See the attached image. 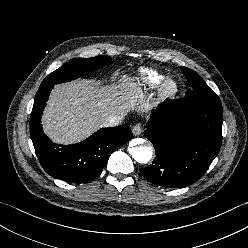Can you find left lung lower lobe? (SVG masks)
I'll return each instance as SVG.
<instances>
[{
    "instance_id": "left-lung-lower-lobe-1",
    "label": "left lung lower lobe",
    "mask_w": 248,
    "mask_h": 248,
    "mask_svg": "<svg viewBox=\"0 0 248 248\" xmlns=\"http://www.w3.org/2000/svg\"><path fill=\"white\" fill-rule=\"evenodd\" d=\"M156 157L141 174L163 187L188 186L200 179L219 152L222 105L213 92L166 100L151 114L144 132Z\"/></svg>"
}]
</instances>
